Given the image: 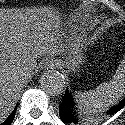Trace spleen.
<instances>
[{
    "mask_svg": "<svg viewBox=\"0 0 125 125\" xmlns=\"http://www.w3.org/2000/svg\"><path fill=\"white\" fill-rule=\"evenodd\" d=\"M124 95L125 60H122L110 82L101 83L95 90L78 92L76 99L83 111L86 113H96L107 109Z\"/></svg>",
    "mask_w": 125,
    "mask_h": 125,
    "instance_id": "1",
    "label": "spleen"
}]
</instances>
